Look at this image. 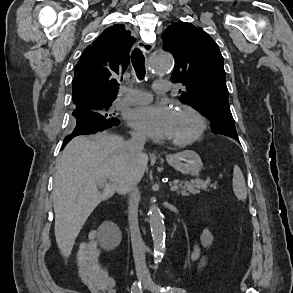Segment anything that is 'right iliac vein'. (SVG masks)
<instances>
[{
	"label": "right iliac vein",
	"instance_id": "63e3f726",
	"mask_svg": "<svg viewBox=\"0 0 293 293\" xmlns=\"http://www.w3.org/2000/svg\"><path fill=\"white\" fill-rule=\"evenodd\" d=\"M144 278H145V277H143V276H141V275L139 276V279L141 280L142 284L144 283Z\"/></svg>",
	"mask_w": 293,
	"mask_h": 293
}]
</instances>
